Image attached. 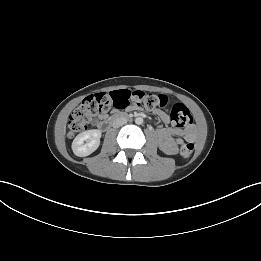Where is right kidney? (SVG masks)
<instances>
[{"label":"right kidney","mask_w":261,"mask_h":261,"mask_svg":"<svg viewBox=\"0 0 261 261\" xmlns=\"http://www.w3.org/2000/svg\"><path fill=\"white\" fill-rule=\"evenodd\" d=\"M101 132L97 129L78 134L72 142V150L76 156L85 157L93 153L100 145Z\"/></svg>","instance_id":"ca27d5eb"}]
</instances>
